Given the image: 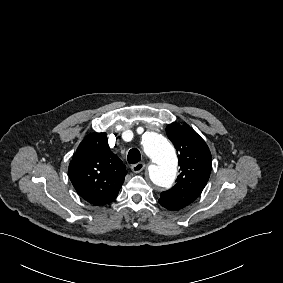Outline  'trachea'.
<instances>
[{
  "mask_svg": "<svg viewBox=\"0 0 283 283\" xmlns=\"http://www.w3.org/2000/svg\"><path fill=\"white\" fill-rule=\"evenodd\" d=\"M128 163L135 164L141 160V154L137 148H132L129 150L127 155Z\"/></svg>",
  "mask_w": 283,
  "mask_h": 283,
  "instance_id": "obj_1",
  "label": "trachea"
}]
</instances>
